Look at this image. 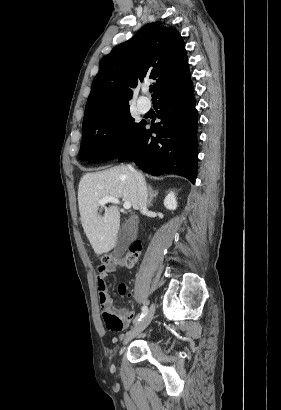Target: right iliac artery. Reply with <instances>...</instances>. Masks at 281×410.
Listing matches in <instances>:
<instances>
[{
  "mask_svg": "<svg viewBox=\"0 0 281 410\" xmlns=\"http://www.w3.org/2000/svg\"><path fill=\"white\" fill-rule=\"evenodd\" d=\"M147 313H148V308H147L146 305H144V306L142 307V313H141V315L138 317V319H137V321H136V324L139 323V322L147 315Z\"/></svg>",
  "mask_w": 281,
  "mask_h": 410,
  "instance_id": "obj_1",
  "label": "right iliac artery"
}]
</instances>
